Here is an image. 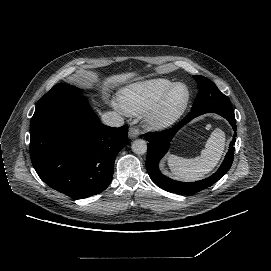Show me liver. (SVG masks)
Returning <instances> with one entry per match:
<instances>
[{
    "label": "liver",
    "instance_id": "liver-1",
    "mask_svg": "<svg viewBox=\"0 0 271 271\" xmlns=\"http://www.w3.org/2000/svg\"><path fill=\"white\" fill-rule=\"evenodd\" d=\"M134 76H135V73H133V72H131V73H122V74H118V75L109 76L103 82L102 90L105 92V91H107L109 89V87L111 85H116L118 83H123L126 80H128L129 78H132Z\"/></svg>",
    "mask_w": 271,
    "mask_h": 271
}]
</instances>
